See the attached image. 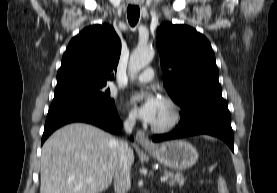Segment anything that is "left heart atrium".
Instances as JSON below:
<instances>
[{
    "label": "left heart atrium",
    "instance_id": "1",
    "mask_svg": "<svg viewBox=\"0 0 277 193\" xmlns=\"http://www.w3.org/2000/svg\"><path fill=\"white\" fill-rule=\"evenodd\" d=\"M162 102V99L154 93H138L130 98L134 114L148 123L155 121Z\"/></svg>",
    "mask_w": 277,
    "mask_h": 193
}]
</instances>
